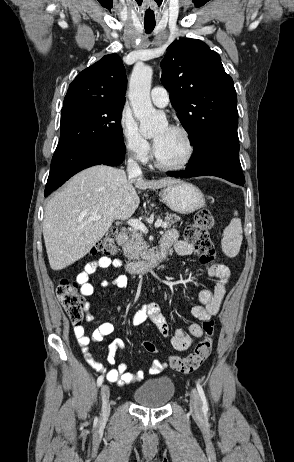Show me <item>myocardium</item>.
Masks as SVG:
<instances>
[{
	"label": "myocardium",
	"mask_w": 294,
	"mask_h": 462,
	"mask_svg": "<svg viewBox=\"0 0 294 462\" xmlns=\"http://www.w3.org/2000/svg\"><path fill=\"white\" fill-rule=\"evenodd\" d=\"M169 128L173 129V130H176L178 132H180L185 140H186V143H187V154L186 156L184 157V159L178 163H175V164H166V163H163L158 155H157V152H156V148H155V145H154V148H153V159H154V164L157 168L161 169V170H164V171H178V170H182L184 168H186L189 163L192 161L194 155H195V151H196V147H195V143H194V139L192 137V134L190 133V131L180 125V124H170L168 126Z\"/></svg>",
	"instance_id": "f54148a6"
}]
</instances>
